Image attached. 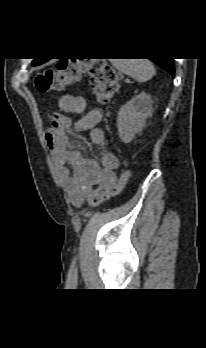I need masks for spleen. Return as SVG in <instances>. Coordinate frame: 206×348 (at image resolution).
I'll list each match as a JSON object with an SVG mask.
<instances>
[{
    "label": "spleen",
    "instance_id": "obj_1",
    "mask_svg": "<svg viewBox=\"0 0 206 348\" xmlns=\"http://www.w3.org/2000/svg\"><path fill=\"white\" fill-rule=\"evenodd\" d=\"M110 61L116 69L138 82H145L156 74L154 65L148 59H111Z\"/></svg>",
    "mask_w": 206,
    "mask_h": 348
}]
</instances>
